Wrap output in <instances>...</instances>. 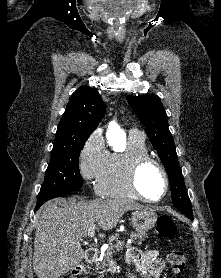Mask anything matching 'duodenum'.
Instances as JSON below:
<instances>
[{
	"instance_id": "410a0bca",
	"label": "duodenum",
	"mask_w": 221,
	"mask_h": 278,
	"mask_svg": "<svg viewBox=\"0 0 221 278\" xmlns=\"http://www.w3.org/2000/svg\"><path fill=\"white\" fill-rule=\"evenodd\" d=\"M98 256V250L94 247H89L86 249V253H85V263L83 264H79L78 266H76L73 269V273L75 276H78L82 273V271L84 270L86 264H91L95 261V259Z\"/></svg>"
}]
</instances>
